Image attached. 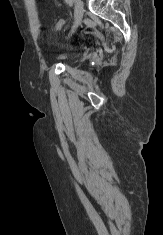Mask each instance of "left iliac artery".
<instances>
[{"label": "left iliac artery", "instance_id": "44dca946", "mask_svg": "<svg viewBox=\"0 0 163 235\" xmlns=\"http://www.w3.org/2000/svg\"><path fill=\"white\" fill-rule=\"evenodd\" d=\"M69 5H72L73 0H65Z\"/></svg>", "mask_w": 163, "mask_h": 235}]
</instances>
